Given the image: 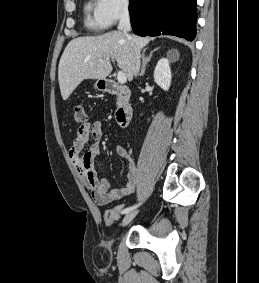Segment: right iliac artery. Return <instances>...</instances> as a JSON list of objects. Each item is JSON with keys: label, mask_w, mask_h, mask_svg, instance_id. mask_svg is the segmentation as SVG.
Wrapping results in <instances>:
<instances>
[{"label": "right iliac artery", "mask_w": 259, "mask_h": 283, "mask_svg": "<svg viewBox=\"0 0 259 283\" xmlns=\"http://www.w3.org/2000/svg\"><path fill=\"white\" fill-rule=\"evenodd\" d=\"M141 203L137 204V205H133V206H130L128 208H125L123 211H122V214H125V213H128L132 210H134L135 208H137Z\"/></svg>", "instance_id": "82829eb1"}]
</instances>
